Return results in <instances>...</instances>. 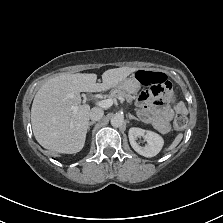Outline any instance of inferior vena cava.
Instances as JSON below:
<instances>
[{
    "mask_svg": "<svg viewBox=\"0 0 223 223\" xmlns=\"http://www.w3.org/2000/svg\"><path fill=\"white\" fill-rule=\"evenodd\" d=\"M104 115L103 109L99 107H93L91 111L89 112V117L93 121H98L100 120Z\"/></svg>",
    "mask_w": 223,
    "mask_h": 223,
    "instance_id": "1",
    "label": "inferior vena cava"
}]
</instances>
